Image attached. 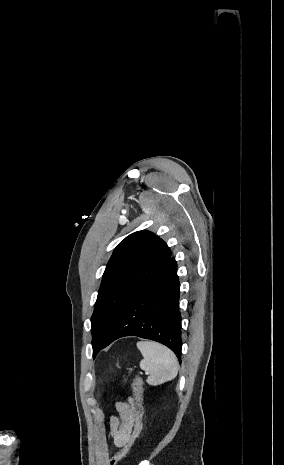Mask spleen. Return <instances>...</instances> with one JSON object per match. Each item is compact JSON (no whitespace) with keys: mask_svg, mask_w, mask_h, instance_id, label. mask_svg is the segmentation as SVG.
Instances as JSON below:
<instances>
[{"mask_svg":"<svg viewBox=\"0 0 284 465\" xmlns=\"http://www.w3.org/2000/svg\"><path fill=\"white\" fill-rule=\"evenodd\" d=\"M137 349L143 357V361H140V369L149 373L148 385L156 387V385L175 379L178 373V363L170 349L163 347L160 343L146 341V339L137 343Z\"/></svg>","mask_w":284,"mask_h":465,"instance_id":"spleen-1","label":"spleen"}]
</instances>
